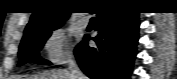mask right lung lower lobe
Segmentation results:
<instances>
[{"instance_id":"98d812e1","label":"right lung lower lobe","mask_w":177,"mask_h":79,"mask_svg":"<svg viewBox=\"0 0 177 79\" xmlns=\"http://www.w3.org/2000/svg\"><path fill=\"white\" fill-rule=\"evenodd\" d=\"M97 47L87 44L88 35L75 48L82 71L91 79H129L138 42L137 12L113 8L97 12Z\"/></svg>"}]
</instances>
